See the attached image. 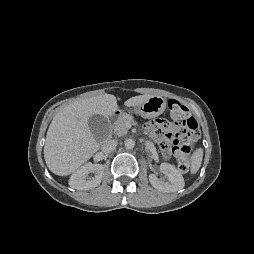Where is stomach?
Masks as SVG:
<instances>
[{"label": "stomach", "instance_id": "obj_1", "mask_svg": "<svg viewBox=\"0 0 254 254\" xmlns=\"http://www.w3.org/2000/svg\"><path fill=\"white\" fill-rule=\"evenodd\" d=\"M166 109V100L161 96H151L144 103L134 108V112L144 118H154Z\"/></svg>", "mask_w": 254, "mask_h": 254}]
</instances>
